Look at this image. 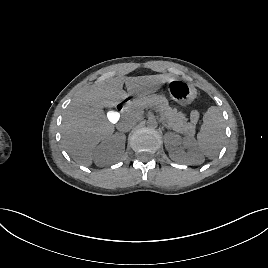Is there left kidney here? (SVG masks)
Listing matches in <instances>:
<instances>
[{
  "instance_id": "left-kidney-1",
  "label": "left kidney",
  "mask_w": 268,
  "mask_h": 268,
  "mask_svg": "<svg viewBox=\"0 0 268 268\" xmlns=\"http://www.w3.org/2000/svg\"><path fill=\"white\" fill-rule=\"evenodd\" d=\"M164 143L169 152V157L174 161L187 165H196L204 162V157L192 137L182 138L177 133L168 132L165 134Z\"/></svg>"
}]
</instances>
